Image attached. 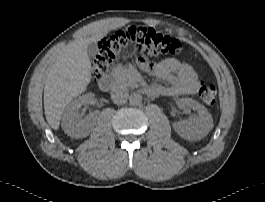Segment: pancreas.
Masks as SVG:
<instances>
[{
    "instance_id": "obj_1",
    "label": "pancreas",
    "mask_w": 265,
    "mask_h": 202,
    "mask_svg": "<svg viewBox=\"0 0 265 202\" xmlns=\"http://www.w3.org/2000/svg\"><path fill=\"white\" fill-rule=\"evenodd\" d=\"M116 80L124 86H136L137 85V73L131 68L123 67L122 65H117L112 72Z\"/></svg>"
}]
</instances>
